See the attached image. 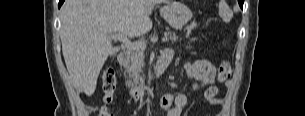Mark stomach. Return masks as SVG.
Listing matches in <instances>:
<instances>
[{
    "label": "stomach",
    "instance_id": "0dacf381",
    "mask_svg": "<svg viewBox=\"0 0 305 116\" xmlns=\"http://www.w3.org/2000/svg\"><path fill=\"white\" fill-rule=\"evenodd\" d=\"M162 17L170 26L176 29L182 28L192 18L191 10L179 1H171L160 9Z\"/></svg>",
    "mask_w": 305,
    "mask_h": 116
}]
</instances>
